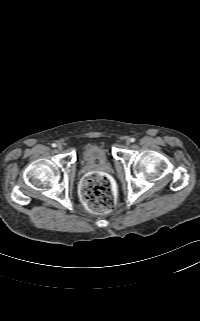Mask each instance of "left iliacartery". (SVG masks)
I'll return each instance as SVG.
<instances>
[{
    "label": "left iliac artery",
    "mask_w": 200,
    "mask_h": 321,
    "mask_svg": "<svg viewBox=\"0 0 200 321\" xmlns=\"http://www.w3.org/2000/svg\"><path fill=\"white\" fill-rule=\"evenodd\" d=\"M130 140H131V142H135V138H131Z\"/></svg>",
    "instance_id": "44dca946"
}]
</instances>
